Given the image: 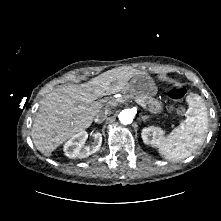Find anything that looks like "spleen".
I'll list each match as a JSON object with an SVG mask.
<instances>
[{
  "instance_id": "spleen-1",
  "label": "spleen",
  "mask_w": 221,
  "mask_h": 221,
  "mask_svg": "<svg viewBox=\"0 0 221 221\" xmlns=\"http://www.w3.org/2000/svg\"><path fill=\"white\" fill-rule=\"evenodd\" d=\"M186 119L159 144V153L166 160H181L204 143L208 132V113L198 94L186 97Z\"/></svg>"
}]
</instances>
